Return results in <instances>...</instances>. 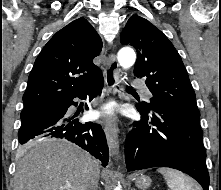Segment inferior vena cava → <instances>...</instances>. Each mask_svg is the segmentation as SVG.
<instances>
[{"label": "inferior vena cava", "mask_w": 221, "mask_h": 190, "mask_svg": "<svg viewBox=\"0 0 221 190\" xmlns=\"http://www.w3.org/2000/svg\"><path fill=\"white\" fill-rule=\"evenodd\" d=\"M99 179V164L95 163L91 172V177L87 186V190H97Z\"/></svg>", "instance_id": "1"}]
</instances>
